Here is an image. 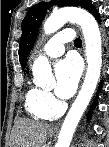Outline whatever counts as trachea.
<instances>
[{"instance_id":"3493384b","label":"trachea","mask_w":109,"mask_h":147,"mask_svg":"<svg viewBox=\"0 0 109 147\" xmlns=\"http://www.w3.org/2000/svg\"><path fill=\"white\" fill-rule=\"evenodd\" d=\"M74 44L75 45H81L82 44V41L80 38H76L75 41H74Z\"/></svg>"}]
</instances>
